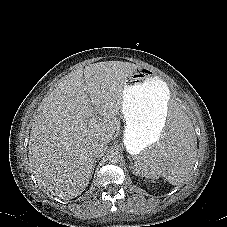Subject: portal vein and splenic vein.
I'll return each mask as SVG.
<instances>
[{
  "mask_svg": "<svg viewBox=\"0 0 227 227\" xmlns=\"http://www.w3.org/2000/svg\"><path fill=\"white\" fill-rule=\"evenodd\" d=\"M97 123V116H93L90 120H89V124L94 126Z\"/></svg>",
  "mask_w": 227,
  "mask_h": 227,
  "instance_id": "portal-vein-and-splenic-vein-1",
  "label": "portal vein and splenic vein"
}]
</instances>
